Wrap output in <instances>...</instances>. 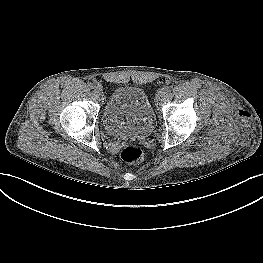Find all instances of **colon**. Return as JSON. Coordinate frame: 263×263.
<instances>
[{"label":"colon","instance_id":"5ec220e1","mask_svg":"<svg viewBox=\"0 0 263 263\" xmlns=\"http://www.w3.org/2000/svg\"><path fill=\"white\" fill-rule=\"evenodd\" d=\"M120 156L126 162L136 163L142 160L143 152L138 146L127 145L121 151Z\"/></svg>","mask_w":263,"mask_h":263}]
</instances>
